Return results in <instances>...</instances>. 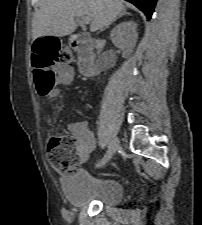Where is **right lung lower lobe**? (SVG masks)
Listing matches in <instances>:
<instances>
[{"label": "right lung lower lobe", "mask_w": 202, "mask_h": 225, "mask_svg": "<svg viewBox=\"0 0 202 225\" xmlns=\"http://www.w3.org/2000/svg\"><path fill=\"white\" fill-rule=\"evenodd\" d=\"M136 7H138L141 11L145 13L147 19L150 20L152 13L154 11L155 4L157 0H126Z\"/></svg>", "instance_id": "obj_1"}]
</instances>
